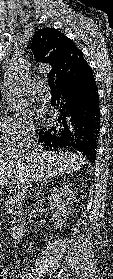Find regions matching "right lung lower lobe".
<instances>
[{"label": "right lung lower lobe", "mask_w": 113, "mask_h": 279, "mask_svg": "<svg viewBox=\"0 0 113 279\" xmlns=\"http://www.w3.org/2000/svg\"><path fill=\"white\" fill-rule=\"evenodd\" d=\"M57 123L39 133V142L51 149L80 152L94 163L100 129L99 95L88 65L83 73L57 88Z\"/></svg>", "instance_id": "right-lung-lower-lobe-1"}]
</instances>
